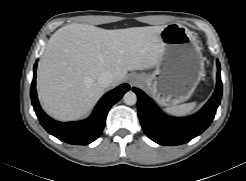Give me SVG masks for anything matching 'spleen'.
Returning a JSON list of instances; mask_svg holds the SVG:
<instances>
[{"instance_id":"spleen-1","label":"spleen","mask_w":246,"mask_h":181,"mask_svg":"<svg viewBox=\"0 0 246 181\" xmlns=\"http://www.w3.org/2000/svg\"><path fill=\"white\" fill-rule=\"evenodd\" d=\"M196 107V102L185 103L181 105L169 106L165 112L173 116H185L189 114Z\"/></svg>"}]
</instances>
